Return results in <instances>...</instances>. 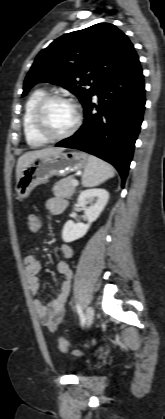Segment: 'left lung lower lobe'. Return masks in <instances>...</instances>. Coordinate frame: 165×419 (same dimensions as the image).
Instances as JSON below:
<instances>
[{
    "instance_id": "0a47b994",
    "label": "left lung lower lobe",
    "mask_w": 165,
    "mask_h": 419,
    "mask_svg": "<svg viewBox=\"0 0 165 419\" xmlns=\"http://www.w3.org/2000/svg\"><path fill=\"white\" fill-rule=\"evenodd\" d=\"M95 95L98 105L91 100L84 107L81 128L56 146L79 149L111 163L123 187L145 108L143 74L135 51L102 80Z\"/></svg>"
}]
</instances>
